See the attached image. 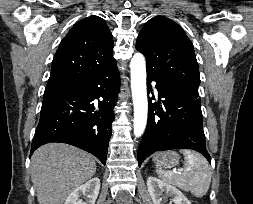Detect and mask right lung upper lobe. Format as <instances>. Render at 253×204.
I'll return each instance as SVG.
<instances>
[{"instance_id": "cb5924a9", "label": "right lung upper lobe", "mask_w": 253, "mask_h": 204, "mask_svg": "<svg viewBox=\"0 0 253 204\" xmlns=\"http://www.w3.org/2000/svg\"><path fill=\"white\" fill-rule=\"evenodd\" d=\"M113 45L102 18L92 15L78 21L56 51L48 82H73L115 66Z\"/></svg>"}]
</instances>
